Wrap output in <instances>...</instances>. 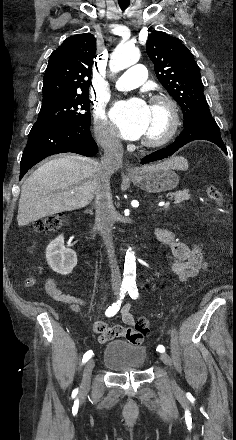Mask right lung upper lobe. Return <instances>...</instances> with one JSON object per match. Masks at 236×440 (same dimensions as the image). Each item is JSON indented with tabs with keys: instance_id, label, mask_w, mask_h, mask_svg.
I'll list each match as a JSON object with an SVG mask.
<instances>
[{
	"instance_id": "1",
	"label": "right lung upper lobe",
	"mask_w": 236,
	"mask_h": 440,
	"mask_svg": "<svg viewBox=\"0 0 236 440\" xmlns=\"http://www.w3.org/2000/svg\"><path fill=\"white\" fill-rule=\"evenodd\" d=\"M96 39L90 33L68 37L49 58L43 78V104L89 94Z\"/></svg>"
}]
</instances>
